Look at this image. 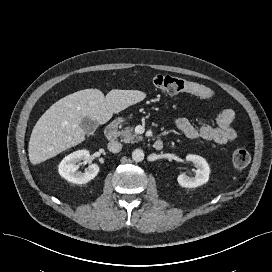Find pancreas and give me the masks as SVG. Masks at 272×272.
Returning a JSON list of instances; mask_svg holds the SVG:
<instances>
[{"instance_id": "obj_1", "label": "pancreas", "mask_w": 272, "mask_h": 272, "mask_svg": "<svg viewBox=\"0 0 272 272\" xmlns=\"http://www.w3.org/2000/svg\"><path fill=\"white\" fill-rule=\"evenodd\" d=\"M119 135L122 138V141L125 143H135L139 140H142L141 136H138L136 133H134L132 127H126L119 133Z\"/></svg>"}]
</instances>
